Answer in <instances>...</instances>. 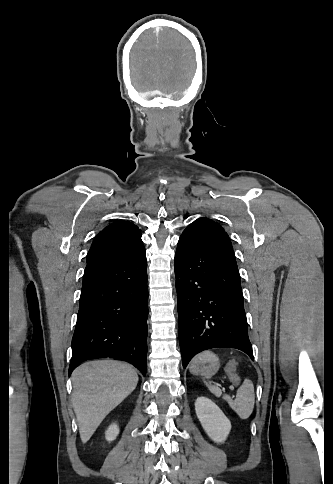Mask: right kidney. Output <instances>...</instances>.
<instances>
[{"label": "right kidney", "mask_w": 333, "mask_h": 484, "mask_svg": "<svg viewBox=\"0 0 333 484\" xmlns=\"http://www.w3.org/2000/svg\"><path fill=\"white\" fill-rule=\"evenodd\" d=\"M119 434V428L116 424H112L108 427L107 431L105 432V437L107 441H113L117 435Z\"/></svg>", "instance_id": "1"}]
</instances>
